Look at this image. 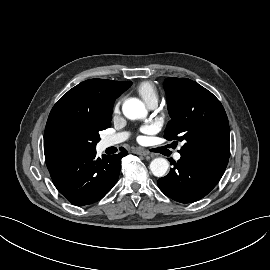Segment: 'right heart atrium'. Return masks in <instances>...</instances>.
Segmentation results:
<instances>
[{"label":"right heart atrium","mask_w":270,"mask_h":270,"mask_svg":"<svg viewBox=\"0 0 270 270\" xmlns=\"http://www.w3.org/2000/svg\"><path fill=\"white\" fill-rule=\"evenodd\" d=\"M120 101H118L115 106H114V113H118L119 112V109H120Z\"/></svg>","instance_id":"obj_1"}]
</instances>
